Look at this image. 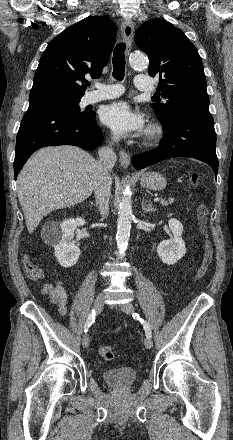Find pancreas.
<instances>
[{
    "label": "pancreas",
    "mask_w": 233,
    "mask_h": 440,
    "mask_svg": "<svg viewBox=\"0 0 233 440\" xmlns=\"http://www.w3.org/2000/svg\"><path fill=\"white\" fill-rule=\"evenodd\" d=\"M174 202L173 198H169L168 200H162L161 204L164 206H168L169 204H172Z\"/></svg>",
    "instance_id": "1"
}]
</instances>
